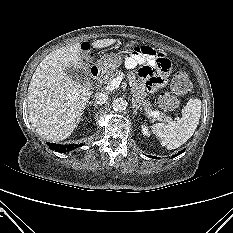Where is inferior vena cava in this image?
<instances>
[{"instance_id": "obj_1", "label": "inferior vena cava", "mask_w": 233, "mask_h": 233, "mask_svg": "<svg viewBox=\"0 0 233 233\" xmlns=\"http://www.w3.org/2000/svg\"><path fill=\"white\" fill-rule=\"evenodd\" d=\"M108 100V95L104 93H97L93 97V101L95 104L102 105Z\"/></svg>"}]
</instances>
